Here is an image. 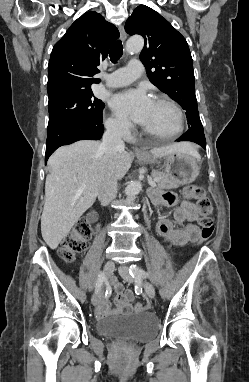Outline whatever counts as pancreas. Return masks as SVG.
I'll use <instances>...</instances> for the list:
<instances>
[{
	"label": "pancreas",
	"mask_w": 249,
	"mask_h": 382,
	"mask_svg": "<svg viewBox=\"0 0 249 382\" xmlns=\"http://www.w3.org/2000/svg\"><path fill=\"white\" fill-rule=\"evenodd\" d=\"M152 176L154 178H159V181L157 182V189H176L181 185V182L175 178H172L168 176L167 174L158 171L153 170Z\"/></svg>",
	"instance_id": "1"
}]
</instances>
